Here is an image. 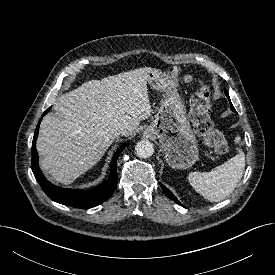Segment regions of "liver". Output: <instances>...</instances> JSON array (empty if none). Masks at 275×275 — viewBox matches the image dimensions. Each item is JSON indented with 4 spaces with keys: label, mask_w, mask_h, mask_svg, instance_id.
<instances>
[{
    "label": "liver",
    "mask_w": 275,
    "mask_h": 275,
    "mask_svg": "<svg viewBox=\"0 0 275 275\" xmlns=\"http://www.w3.org/2000/svg\"><path fill=\"white\" fill-rule=\"evenodd\" d=\"M153 69L138 68L91 80L54 103L41 121L36 148L40 167L63 184L91 169L118 137L130 136L151 114L147 80Z\"/></svg>",
    "instance_id": "1"
}]
</instances>
